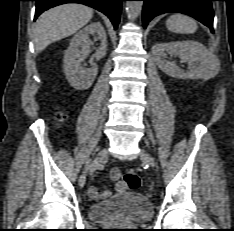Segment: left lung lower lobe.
Returning <instances> with one entry per match:
<instances>
[{
  "mask_svg": "<svg viewBox=\"0 0 234 231\" xmlns=\"http://www.w3.org/2000/svg\"><path fill=\"white\" fill-rule=\"evenodd\" d=\"M143 26L146 28L149 21L160 14L179 12L194 17L213 32V9L211 1L215 0H142Z\"/></svg>",
  "mask_w": 234,
  "mask_h": 231,
  "instance_id": "obj_1",
  "label": "left lung lower lobe"
}]
</instances>
